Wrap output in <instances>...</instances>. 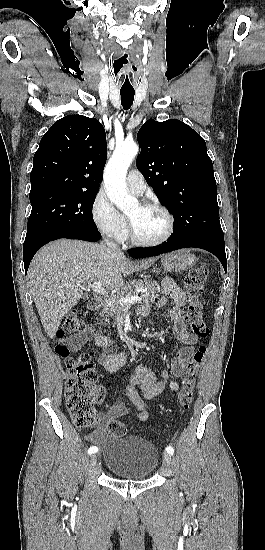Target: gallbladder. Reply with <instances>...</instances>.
<instances>
[{
	"mask_svg": "<svg viewBox=\"0 0 265 550\" xmlns=\"http://www.w3.org/2000/svg\"><path fill=\"white\" fill-rule=\"evenodd\" d=\"M83 299H84V300L88 299V296H84Z\"/></svg>",
	"mask_w": 265,
	"mask_h": 550,
	"instance_id": "1",
	"label": "gallbladder"
}]
</instances>
